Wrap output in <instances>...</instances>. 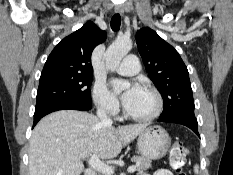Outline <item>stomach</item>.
Masks as SVG:
<instances>
[{
	"instance_id": "1",
	"label": "stomach",
	"mask_w": 233,
	"mask_h": 175,
	"mask_svg": "<svg viewBox=\"0 0 233 175\" xmlns=\"http://www.w3.org/2000/svg\"><path fill=\"white\" fill-rule=\"evenodd\" d=\"M171 140L164 128L153 125L145 128L138 137L137 146L143 157L158 160L164 157Z\"/></svg>"
}]
</instances>
